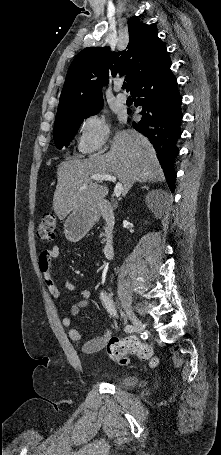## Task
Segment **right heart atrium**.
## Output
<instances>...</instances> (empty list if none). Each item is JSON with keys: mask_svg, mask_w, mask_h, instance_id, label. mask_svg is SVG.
I'll use <instances>...</instances> for the list:
<instances>
[{"mask_svg": "<svg viewBox=\"0 0 221 455\" xmlns=\"http://www.w3.org/2000/svg\"><path fill=\"white\" fill-rule=\"evenodd\" d=\"M110 127L103 114H90L79 124L78 148L89 154L102 151L110 137Z\"/></svg>", "mask_w": 221, "mask_h": 455, "instance_id": "obj_1", "label": "right heart atrium"}]
</instances>
